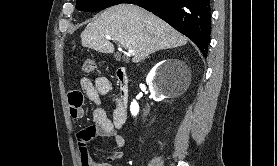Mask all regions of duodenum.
Instances as JSON below:
<instances>
[{
    "label": "duodenum",
    "mask_w": 277,
    "mask_h": 166,
    "mask_svg": "<svg viewBox=\"0 0 277 166\" xmlns=\"http://www.w3.org/2000/svg\"><path fill=\"white\" fill-rule=\"evenodd\" d=\"M116 78L119 83V95H118V109L119 114L122 118H127L128 104H129V95H130V86L129 78L126 72V69L120 67L116 71Z\"/></svg>",
    "instance_id": "obj_1"
}]
</instances>
